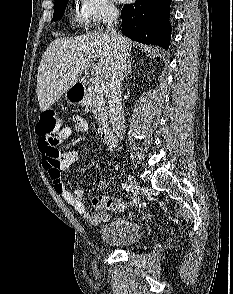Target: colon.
I'll return each mask as SVG.
<instances>
[{"label":"colon","instance_id":"colon-1","mask_svg":"<svg viewBox=\"0 0 233 294\" xmlns=\"http://www.w3.org/2000/svg\"><path fill=\"white\" fill-rule=\"evenodd\" d=\"M63 123L57 113L52 110L44 111L36 125L39 146L42 153L48 156H58L57 145L62 139ZM105 206L110 210H122L123 204L115 199H108Z\"/></svg>","mask_w":233,"mask_h":294}]
</instances>
